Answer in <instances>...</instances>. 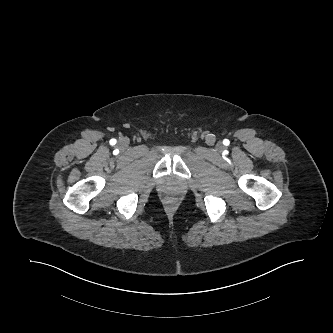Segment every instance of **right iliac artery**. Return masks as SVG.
Returning <instances> with one entry per match:
<instances>
[{
    "mask_svg": "<svg viewBox=\"0 0 333 333\" xmlns=\"http://www.w3.org/2000/svg\"><path fill=\"white\" fill-rule=\"evenodd\" d=\"M111 143H112V144H115V143H116V140H115V139H112V140H111Z\"/></svg>",
    "mask_w": 333,
    "mask_h": 333,
    "instance_id": "1",
    "label": "right iliac artery"
}]
</instances>
